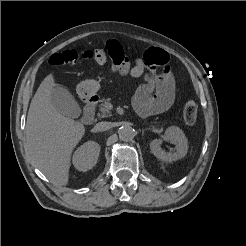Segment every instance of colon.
<instances>
[{
    "label": "colon",
    "mask_w": 246,
    "mask_h": 246,
    "mask_svg": "<svg viewBox=\"0 0 246 246\" xmlns=\"http://www.w3.org/2000/svg\"><path fill=\"white\" fill-rule=\"evenodd\" d=\"M123 57L122 51L118 47H109L106 45L102 49H84V50H64L55 53L49 58L51 65L74 64L79 59L94 61L98 64H105L108 61H120ZM183 119L186 124L193 125L198 115V105L193 100H188L183 107Z\"/></svg>",
    "instance_id": "obj_1"
}]
</instances>
